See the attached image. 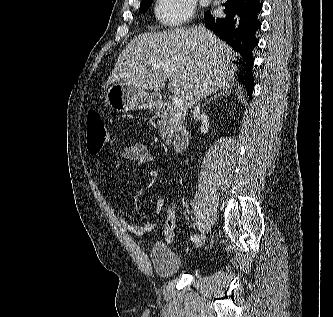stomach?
I'll return each mask as SVG.
<instances>
[{
	"instance_id": "0dacf381",
	"label": "stomach",
	"mask_w": 333,
	"mask_h": 317,
	"mask_svg": "<svg viewBox=\"0 0 333 317\" xmlns=\"http://www.w3.org/2000/svg\"><path fill=\"white\" fill-rule=\"evenodd\" d=\"M107 101L113 109L122 112L148 109L156 105L154 94L147 93L128 81L113 84L108 89Z\"/></svg>"
}]
</instances>
